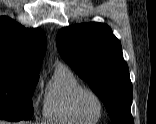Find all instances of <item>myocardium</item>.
I'll list each match as a JSON object with an SVG mask.
<instances>
[{
	"mask_svg": "<svg viewBox=\"0 0 156 124\" xmlns=\"http://www.w3.org/2000/svg\"><path fill=\"white\" fill-rule=\"evenodd\" d=\"M84 95H91L97 100V102L99 103L100 111H99L98 116L94 119H100L104 112V100L97 92H95L94 90L90 88L81 87L74 93L72 102H73V107H74L75 112L81 118L88 119V116L85 114V112L81 108V98Z\"/></svg>",
	"mask_w": 156,
	"mask_h": 124,
	"instance_id": "myocardium-1",
	"label": "myocardium"
}]
</instances>
